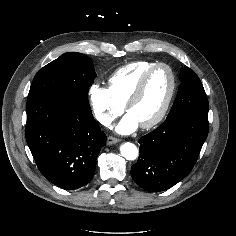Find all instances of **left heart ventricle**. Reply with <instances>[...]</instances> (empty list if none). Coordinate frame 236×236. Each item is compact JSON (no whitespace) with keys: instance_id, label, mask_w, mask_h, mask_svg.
Returning <instances> with one entry per match:
<instances>
[{"instance_id":"1","label":"left heart ventricle","mask_w":236,"mask_h":236,"mask_svg":"<svg viewBox=\"0 0 236 236\" xmlns=\"http://www.w3.org/2000/svg\"><path fill=\"white\" fill-rule=\"evenodd\" d=\"M171 78L167 69L159 68L149 77L141 97L134 103L128 113L140 124L154 119L163 107L170 90Z\"/></svg>"}]
</instances>
